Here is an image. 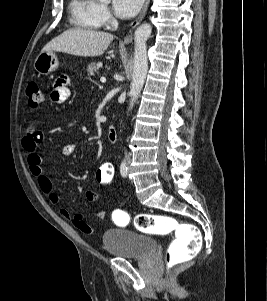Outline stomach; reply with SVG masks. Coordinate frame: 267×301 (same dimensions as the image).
I'll use <instances>...</instances> for the list:
<instances>
[{"label":"stomach","instance_id":"obj_1","mask_svg":"<svg viewBox=\"0 0 267 301\" xmlns=\"http://www.w3.org/2000/svg\"><path fill=\"white\" fill-rule=\"evenodd\" d=\"M58 66L59 62L54 51L41 52L34 62L35 70L43 75L55 71Z\"/></svg>","mask_w":267,"mask_h":301}]
</instances>
